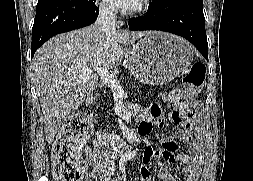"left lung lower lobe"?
I'll return each mask as SVG.
<instances>
[{"instance_id":"left-lung-lower-lobe-1","label":"left lung lower lobe","mask_w":253,"mask_h":181,"mask_svg":"<svg viewBox=\"0 0 253 181\" xmlns=\"http://www.w3.org/2000/svg\"><path fill=\"white\" fill-rule=\"evenodd\" d=\"M202 0H164L148 7L144 16L128 22L129 29L160 30L186 38L208 60V43Z\"/></svg>"}]
</instances>
